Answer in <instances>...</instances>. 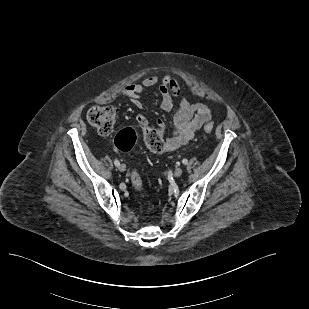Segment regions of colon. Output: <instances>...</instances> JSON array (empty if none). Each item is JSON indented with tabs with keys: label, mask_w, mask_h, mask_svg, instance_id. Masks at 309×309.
Returning <instances> with one entry per match:
<instances>
[{
	"label": "colon",
	"mask_w": 309,
	"mask_h": 309,
	"mask_svg": "<svg viewBox=\"0 0 309 309\" xmlns=\"http://www.w3.org/2000/svg\"><path fill=\"white\" fill-rule=\"evenodd\" d=\"M87 120L98 133L110 135L114 132L117 120L118 109L113 106L96 105L87 111ZM213 130L212 124L204 126L205 132ZM136 141V132L133 128H124L118 132L115 138V146L121 152H129ZM144 141L147 148L152 152H161L163 148V138L160 133L152 128H147L144 132ZM131 183L137 191L142 189V179L138 171L133 170L131 173Z\"/></svg>",
	"instance_id": "1"
}]
</instances>
